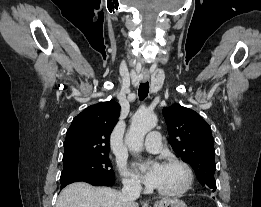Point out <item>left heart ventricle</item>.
Segmentation results:
<instances>
[{
	"instance_id": "obj_1",
	"label": "left heart ventricle",
	"mask_w": 261,
	"mask_h": 207,
	"mask_svg": "<svg viewBox=\"0 0 261 207\" xmlns=\"http://www.w3.org/2000/svg\"><path fill=\"white\" fill-rule=\"evenodd\" d=\"M185 180V174L182 168L175 165H163L159 176L157 189L164 191H173L179 189Z\"/></svg>"
}]
</instances>
